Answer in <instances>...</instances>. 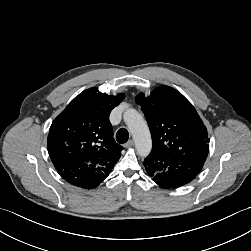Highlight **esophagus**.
Masks as SVG:
<instances>
[{"instance_id":"esophagus-1","label":"esophagus","mask_w":251,"mask_h":251,"mask_svg":"<svg viewBox=\"0 0 251 251\" xmlns=\"http://www.w3.org/2000/svg\"><path fill=\"white\" fill-rule=\"evenodd\" d=\"M133 146H134V141H133V140L128 141V142L124 145L125 148H131V147H133Z\"/></svg>"}]
</instances>
